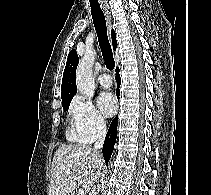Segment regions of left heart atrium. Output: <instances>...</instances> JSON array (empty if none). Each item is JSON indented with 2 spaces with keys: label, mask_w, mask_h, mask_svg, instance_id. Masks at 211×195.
<instances>
[{
  "label": "left heart atrium",
  "mask_w": 211,
  "mask_h": 195,
  "mask_svg": "<svg viewBox=\"0 0 211 195\" xmlns=\"http://www.w3.org/2000/svg\"><path fill=\"white\" fill-rule=\"evenodd\" d=\"M98 105L106 116H112L117 109V101L112 93L104 92L98 97Z\"/></svg>",
  "instance_id": "left-heart-atrium-1"
}]
</instances>
